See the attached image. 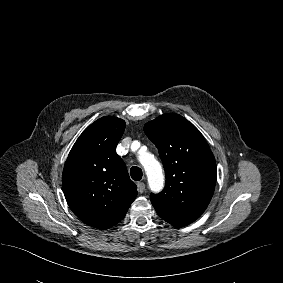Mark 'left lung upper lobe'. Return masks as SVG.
<instances>
[{"mask_svg": "<svg viewBox=\"0 0 283 283\" xmlns=\"http://www.w3.org/2000/svg\"><path fill=\"white\" fill-rule=\"evenodd\" d=\"M158 148L166 183L150 200L165 221L175 227L198 219L215 189V158L199 130L179 114L167 113L144 126Z\"/></svg>", "mask_w": 283, "mask_h": 283, "instance_id": "obj_1", "label": "left lung upper lobe"}]
</instances>
